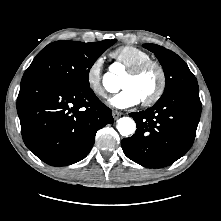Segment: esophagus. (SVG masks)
Masks as SVG:
<instances>
[{"instance_id": "obj_1", "label": "esophagus", "mask_w": 221, "mask_h": 221, "mask_svg": "<svg viewBox=\"0 0 221 221\" xmlns=\"http://www.w3.org/2000/svg\"><path fill=\"white\" fill-rule=\"evenodd\" d=\"M121 115H122V113L120 111L113 110V112H112V116L114 119H118Z\"/></svg>"}]
</instances>
